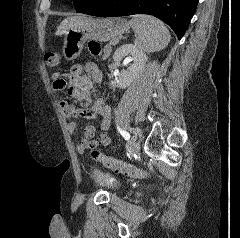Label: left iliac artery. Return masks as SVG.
I'll return each mask as SVG.
<instances>
[{"instance_id": "44dca946", "label": "left iliac artery", "mask_w": 240, "mask_h": 238, "mask_svg": "<svg viewBox=\"0 0 240 238\" xmlns=\"http://www.w3.org/2000/svg\"><path fill=\"white\" fill-rule=\"evenodd\" d=\"M131 130H132V131H131L132 134H134V136H135V137L133 138V141L135 142L134 144L136 145V144H137L136 142L138 141V138H137V137L139 136V133H138L137 129H131Z\"/></svg>"}]
</instances>
